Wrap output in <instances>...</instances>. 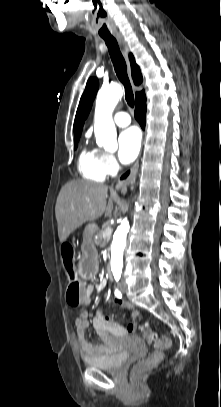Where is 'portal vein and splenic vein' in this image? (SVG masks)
I'll list each match as a JSON object with an SVG mask.
<instances>
[{"label": "portal vein and splenic vein", "mask_w": 221, "mask_h": 407, "mask_svg": "<svg viewBox=\"0 0 221 407\" xmlns=\"http://www.w3.org/2000/svg\"><path fill=\"white\" fill-rule=\"evenodd\" d=\"M111 233H112L111 227H107L103 232V237L104 238L109 237L111 235Z\"/></svg>", "instance_id": "obj_1"}]
</instances>
